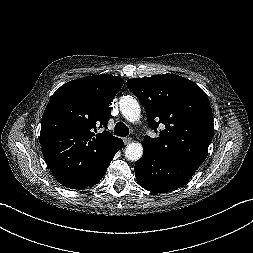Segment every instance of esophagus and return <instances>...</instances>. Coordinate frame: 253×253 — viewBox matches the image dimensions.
Listing matches in <instances>:
<instances>
[{"instance_id":"obj_1","label":"esophagus","mask_w":253,"mask_h":253,"mask_svg":"<svg viewBox=\"0 0 253 253\" xmlns=\"http://www.w3.org/2000/svg\"><path fill=\"white\" fill-rule=\"evenodd\" d=\"M123 142H124L125 145H128L129 143L132 142V138L131 137H125V138H123Z\"/></svg>"}]
</instances>
